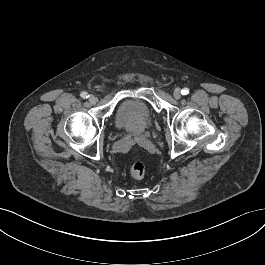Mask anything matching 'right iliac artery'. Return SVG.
<instances>
[{"mask_svg":"<svg viewBox=\"0 0 265 265\" xmlns=\"http://www.w3.org/2000/svg\"><path fill=\"white\" fill-rule=\"evenodd\" d=\"M81 97L84 98V99H87L89 97V95H88L87 92H82L81 93Z\"/></svg>","mask_w":265,"mask_h":265,"instance_id":"1","label":"right iliac artery"}]
</instances>
